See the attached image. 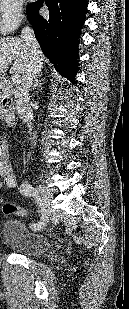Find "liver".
I'll return each instance as SVG.
<instances>
[{
    "label": "liver",
    "instance_id": "obj_1",
    "mask_svg": "<svg viewBox=\"0 0 129 309\" xmlns=\"http://www.w3.org/2000/svg\"><path fill=\"white\" fill-rule=\"evenodd\" d=\"M45 57L41 54V64L43 65ZM29 55L24 42L17 37L0 38V74L8 70L14 76L20 77L29 66Z\"/></svg>",
    "mask_w": 129,
    "mask_h": 309
}]
</instances>
